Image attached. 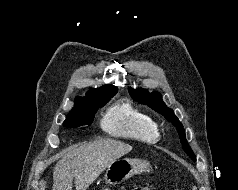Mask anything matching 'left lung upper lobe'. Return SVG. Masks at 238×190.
Returning <instances> with one entry per match:
<instances>
[{
    "label": "left lung upper lobe",
    "mask_w": 238,
    "mask_h": 190,
    "mask_svg": "<svg viewBox=\"0 0 238 190\" xmlns=\"http://www.w3.org/2000/svg\"><path fill=\"white\" fill-rule=\"evenodd\" d=\"M129 93L134 100H136L139 103L150 106L152 109L162 114L168 121L172 122L179 133L181 143L183 144V149L190 158L196 160L193 151L191 150L190 146L187 143L185 131L183 129L181 122L175 116L173 110L168 108L162 101L160 93L158 92L149 93L145 89H132V88L129 89Z\"/></svg>",
    "instance_id": "1"
}]
</instances>
